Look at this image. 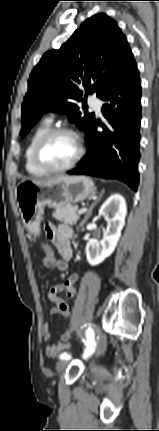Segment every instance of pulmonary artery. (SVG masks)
I'll return each instance as SVG.
<instances>
[{
    "label": "pulmonary artery",
    "mask_w": 159,
    "mask_h": 431,
    "mask_svg": "<svg viewBox=\"0 0 159 431\" xmlns=\"http://www.w3.org/2000/svg\"><path fill=\"white\" fill-rule=\"evenodd\" d=\"M89 104L90 106L96 111V113L100 114L101 113V107H102V103L99 99H97L95 96H90L89 97ZM53 118V115H51L48 120L51 121Z\"/></svg>",
    "instance_id": "e3ab8cb5"
}]
</instances>
